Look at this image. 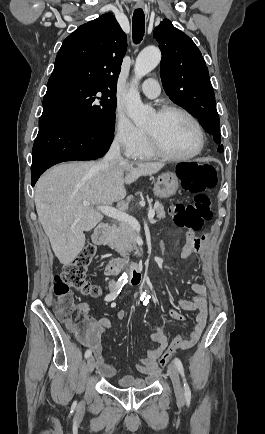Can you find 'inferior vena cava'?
<instances>
[{"label": "inferior vena cava", "instance_id": "602c4592", "mask_svg": "<svg viewBox=\"0 0 265 434\" xmlns=\"http://www.w3.org/2000/svg\"><path fill=\"white\" fill-rule=\"evenodd\" d=\"M119 162H121V164H127V160H124L121 156L120 142L118 138H116L108 154H106L102 162H99L98 168H101V170H107V168H111V166H115V164H119Z\"/></svg>", "mask_w": 265, "mask_h": 434}]
</instances>
